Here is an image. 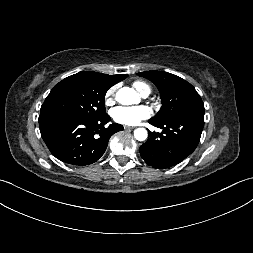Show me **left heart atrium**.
I'll return each instance as SVG.
<instances>
[{
  "label": "left heart atrium",
  "mask_w": 253,
  "mask_h": 253,
  "mask_svg": "<svg viewBox=\"0 0 253 253\" xmlns=\"http://www.w3.org/2000/svg\"><path fill=\"white\" fill-rule=\"evenodd\" d=\"M151 112L147 106L124 107L118 106L112 111L114 121L124 125H136L148 118Z\"/></svg>",
  "instance_id": "1"
}]
</instances>
